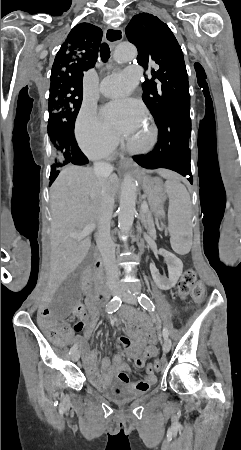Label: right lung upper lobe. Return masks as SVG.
<instances>
[{
  "label": "right lung upper lobe",
  "mask_w": 241,
  "mask_h": 450,
  "mask_svg": "<svg viewBox=\"0 0 241 450\" xmlns=\"http://www.w3.org/2000/svg\"><path fill=\"white\" fill-rule=\"evenodd\" d=\"M101 39L99 27L89 23L75 26L55 57L50 87L70 85L83 89V72L95 65Z\"/></svg>",
  "instance_id": "cb5924a9"
}]
</instances>
